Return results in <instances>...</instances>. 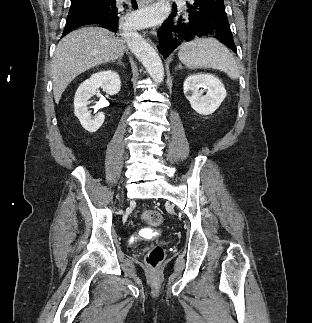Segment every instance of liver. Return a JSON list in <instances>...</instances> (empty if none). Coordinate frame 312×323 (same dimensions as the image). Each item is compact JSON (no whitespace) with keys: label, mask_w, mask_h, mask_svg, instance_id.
<instances>
[{"label":"liver","mask_w":312,"mask_h":323,"mask_svg":"<svg viewBox=\"0 0 312 323\" xmlns=\"http://www.w3.org/2000/svg\"><path fill=\"white\" fill-rule=\"evenodd\" d=\"M123 40L106 28H80L60 40L51 64L53 94L59 104L70 82L94 66L115 62L124 56Z\"/></svg>","instance_id":"6515ba94"}]
</instances>
